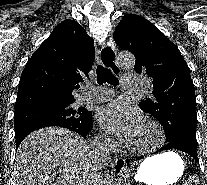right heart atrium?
<instances>
[{"mask_svg": "<svg viewBox=\"0 0 207 185\" xmlns=\"http://www.w3.org/2000/svg\"><path fill=\"white\" fill-rule=\"evenodd\" d=\"M99 138L106 144H110L112 143V138L110 135H108L107 133H102L99 135Z\"/></svg>", "mask_w": 207, "mask_h": 185, "instance_id": "d8ad5b80", "label": "right heart atrium"}]
</instances>
